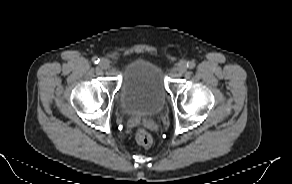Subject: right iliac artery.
Returning <instances> with one entry per match:
<instances>
[{
	"label": "right iliac artery",
	"instance_id": "82829eb1",
	"mask_svg": "<svg viewBox=\"0 0 292 184\" xmlns=\"http://www.w3.org/2000/svg\"><path fill=\"white\" fill-rule=\"evenodd\" d=\"M92 61L95 63V64H98L100 59L98 57H93Z\"/></svg>",
	"mask_w": 292,
	"mask_h": 184
}]
</instances>
